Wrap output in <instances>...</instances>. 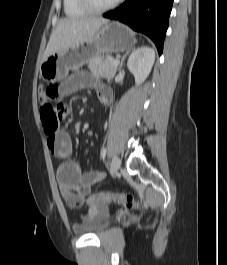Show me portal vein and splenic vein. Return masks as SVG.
I'll use <instances>...</instances> for the list:
<instances>
[{"label":"portal vein and splenic vein","mask_w":227,"mask_h":265,"mask_svg":"<svg viewBox=\"0 0 227 265\" xmlns=\"http://www.w3.org/2000/svg\"><path fill=\"white\" fill-rule=\"evenodd\" d=\"M119 61L118 60H114V64L118 65Z\"/></svg>","instance_id":"18ae733b"}]
</instances>
